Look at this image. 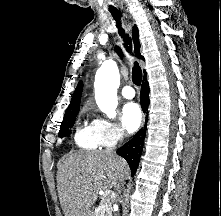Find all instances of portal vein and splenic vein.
I'll return each instance as SVG.
<instances>
[{"instance_id":"obj_1","label":"portal vein and splenic vein","mask_w":221,"mask_h":216,"mask_svg":"<svg viewBox=\"0 0 221 216\" xmlns=\"http://www.w3.org/2000/svg\"><path fill=\"white\" fill-rule=\"evenodd\" d=\"M104 198L108 199L110 201L111 198L115 197V193L111 190H106L103 194Z\"/></svg>"}]
</instances>
